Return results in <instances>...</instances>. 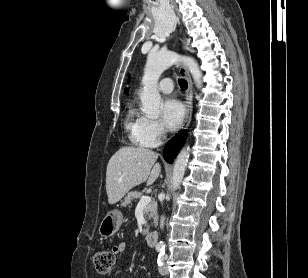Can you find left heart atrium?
Returning <instances> with one entry per match:
<instances>
[{
	"mask_svg": "<svg viewBox=\"0 0 308 278\" xmlns=\"http://www.w3.org/2000/svg\"><path fill=\"white\" fill-rule=\"evenodd\" d=\"M185 116L183 104L176 99H168L162 105V121L170 129L178 128Z\"/></svg>",
	"mask_w": 308,
	"mask_h": 278,
	"instance_id": "obj_1",
	"label": "left heart atrium"
}]
</instances>
